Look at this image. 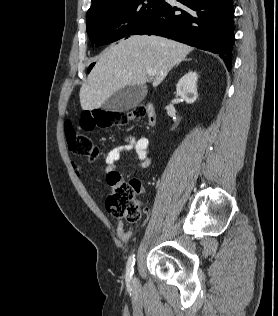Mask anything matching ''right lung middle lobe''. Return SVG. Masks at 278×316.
I'll return each instance as SVG.
<instances>
[{
	"label": "right lung middle lobe",
	"instance_id": "1",
	"mask_svg": "<svg viewBox=\"0 0 278 316\" xmlns=\"http://www.w3.org/2000/svg\"><path fill=\"white\" fill-rule=\"evenodd\" d=\"M164 0H109L87 12V33L96 46L131 35Z\"/></svg>",
	"mask_w": 278,
	"mask_h": 316
}]
</instances>
